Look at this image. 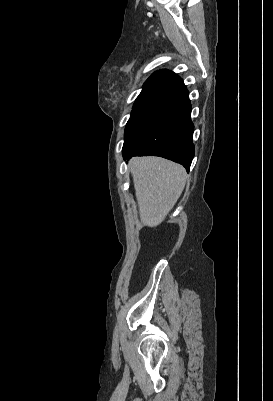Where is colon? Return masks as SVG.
Returning a JSON list of instances; mask_svg holds the SVG:
<instances>
[{"instance_id": "obj_1", "label": "colon", "mask_w": 273, "mask_h": 401, "mask_svg": "<svg viewBox=\"0 0 273 401\" xmlns=\"http://www.w3.org/2000/svg\"><path fill=\"white\" fill-rule=\"evenodd\" d=\"M133 267H134V269L139 270V269H141L142 264H141V262L136 261V262H134Z\"/></svg>"}]
</instances>
